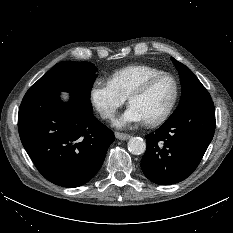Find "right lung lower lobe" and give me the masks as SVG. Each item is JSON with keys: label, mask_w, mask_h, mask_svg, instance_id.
I'll list each match as a JSON object with an SVG mask.
<instances>
[{"label": "right lung lower lobe", "mask_w": 233, "mask_h": 233, "mask_svg": "<svg viewBox=\"0 0 233 233\" xmlns=\"http://www.w3.org/2000/svg\"><path fill=\"white\" fill-rule=\"evenodd\" d=\"M22 144L50 182L78 187L100 169L115 136L75 98L61 102L56 92L27 91L18 113Z\"/></svg>", "instance_id": "right-lung-lower-lobe-1"}]
</instances>
